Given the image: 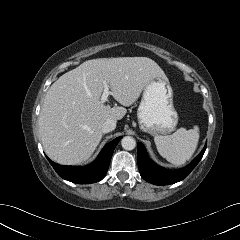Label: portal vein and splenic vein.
<instances>
[{"mask_svg": "<svg viewBox=\"0 0 240 240\" xmlns=\"http://www.w3.org/2000/svg\"><path fill=\"white\" fill-rule=\"evenodd\" d=\"M103 87H104V91L101 96V103H105L108 99V96L111 94V92L109 91V86L106 83V81L103 82Z\"/></svg>", "mask_w": 240, "mask_h": 240, "instance_id": "18ae733b", "label": "portal vein and splenic vein"}]
</instances>
